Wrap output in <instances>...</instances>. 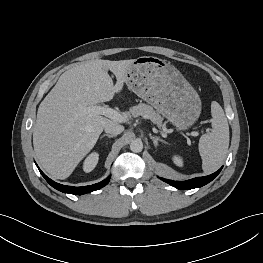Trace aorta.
Returning <instances> with one entry per match:
<instances>
[{
    "label": "aorta",
    "mask_w": 263,
    "mask_h": 263,
    "mask_svg": "<svg viewBox=\"0 0 263 263\" xmlns=\"http://www.w3.org/2000/svg\"><path fill=\"white\" fill-rule=\"evenodd\" d=\"M143 149V143L141 140H133L131 143H130V150L132 152H135V153H139L141 152Z\"/></svg>",
    "instance_id": "aorta-1"
}]
</instances>
